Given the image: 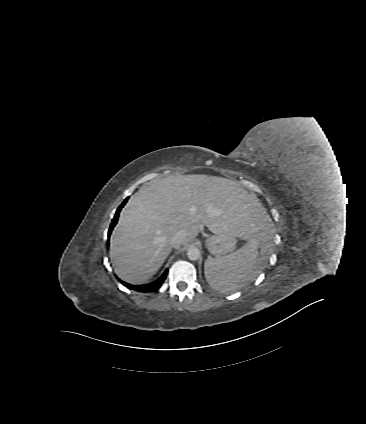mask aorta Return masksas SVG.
<instances>
[{
	"label": "aorta",
	"instance_id": "762f6f07",
	"mask_svg": "<svg viewBox=\"0 0 366 424\" xmlns=\"http://www.w3.org/2000/svg\"><path fill=\"white\" fill-rule=\"evenodd\" d=\"M200 250L197 247L191 246L187 250V256L190 260L196 261L200 258Z\"/></svg>",
	"mask_w": 366,
	"mask_h": 424
}]
</instances>
